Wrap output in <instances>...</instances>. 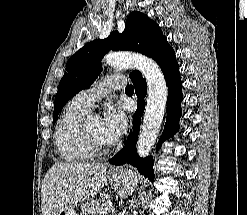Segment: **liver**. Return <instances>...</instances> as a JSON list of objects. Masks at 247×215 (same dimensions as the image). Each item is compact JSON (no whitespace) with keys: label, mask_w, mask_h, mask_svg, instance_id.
Wrapping results in <instances>:
<instances>
[{"label":"liver","mask_w":247,"mask_h":215,"mask_svg":"<svg viewBox=\"0 0 247 215\" xmlns=\"http://www.w3.org/2000/svg\"><path fill=\"white\" fill-rule=\"evenodd\" d=\"M105 183L106 167L103 164H54L42 183V215H57L64 206L89 199Z\"/></svg>","instance_id":"liver-1"}]
</instances>
